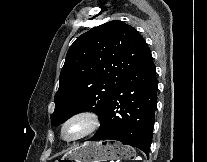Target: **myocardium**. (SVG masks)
Masks as SVG:
<instances>
[{"label": "myocardium", "mask_w": 207, "mask_h": 162, "mask_svg": "<svg viewBox=\"0 0 207 162\" xmlns=\"http://www.w3.org/2000/svg\"><path fill=\"white\" fill-rule=\"evenodd\" d=\"M77 122L84 123V129L79 134L68 137L66 135L68 127ZM100 125L101 119L98 113L90 109L81 110L74 113L63 122L61 127V137L67 142L78 141L94 133L100 127Z\"/></svg>", "instance_id": "f54148a6"}]
</instances>
